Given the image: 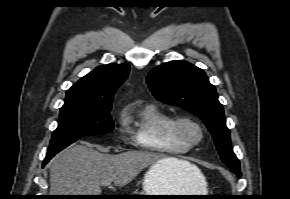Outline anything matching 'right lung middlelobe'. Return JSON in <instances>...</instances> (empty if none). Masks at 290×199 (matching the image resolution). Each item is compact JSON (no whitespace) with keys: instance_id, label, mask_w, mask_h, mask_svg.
I'll use <instances>...</instances> for the list:
<instances>
[{"instance_id":"dd1d6c3e","label":"right lung middle lobe","mask_w":290,"mask_h":199,"mask_svg":"<svg viewBox=\"0 0 290 199\" xmlns=\"http://www.w3.org/2000/svg\"><path fill=\"white\" fill-rule=\"evenodd\" d=\"M110 111L111 106L61 108L46 156L53 157L80 137L111 132L114 124Z\"/></svg>"}]
</instances>
